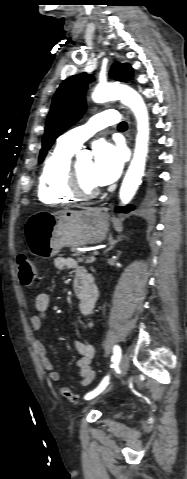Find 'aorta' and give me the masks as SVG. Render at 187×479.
Here are the masks:
<instances>
[{
    "label": "aorta",
    "mask_w": 187,
    "mask_h": 479,
    "mask_svg": "<svg viewBox=\"0 0 187 479\" xmlns=\"http://www.w3.org/2000/svg\"><path fill=\"white\" fill-rule=\"evenodd\" d=\"M96 103L119 99L134 113L137 120V135L133 159L120 189L122 204H128L135 195L145 169L149 141V118L142 97L132 88L125 85L105 84L96 87L92 94Z\"/></svg>",
    "instance_id": "obj_1"
}]
</instances>
